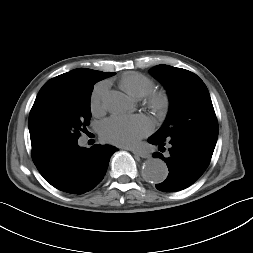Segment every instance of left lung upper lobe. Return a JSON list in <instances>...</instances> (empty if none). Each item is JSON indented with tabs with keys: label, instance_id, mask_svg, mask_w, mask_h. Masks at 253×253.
I'll use <instances>...</instances> for the list:
<instances>
[{
	"label": "left lung upper lobe",
	"instance_id": "left-lung-upper-lobe-1",
	"mask_svg": "<svg viewBox=\"0 0 253 253\" xmlns=\"http://www.w3.org/2000/svg\"><path fill=\"white\" fill-rule=\"evenodd\" d=\"M166 88L170 110L155 138L168 139L181 134L199 132L217 138L218 123L206 85L194 73L168 65L150 70Z\"/></svg>",
	"mask_w": 253,
	"mask_h": 253
}]
</instances>
